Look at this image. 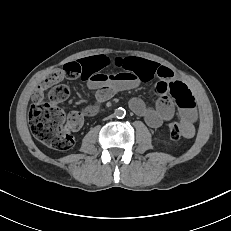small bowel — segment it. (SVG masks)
Here are the masks:
<instances>
[{
  "label": "small bowel",
  "instance_id": "1",
  "mask_svg": "<svg viewBox=\"0 0 231 231\" xmlns=\"http://www.w3.org/2000/svg\"><path fill=\"white\" fill-rule=\"evenodd\" d=\"M71 63L79 65L81 69L79 76L96 95V104L86 106L81 113L82 116L95 114L100 104L119 91L133 89L143 82L157 79L154 91L158 99L155 106H148L140 98H132L129 107L135 114L143 117L148 126L157 128L174 117V100L178 106L184 137L194 136V124L197 120L194 97L188 86L176 78L169 68L138 57L111 59L105 55L90 56ZM112 66L118 71L107 73L105 70ZM64 77L66 76L63 70L55 71L38 86L33 99L42 100L48 87ZM81 125L72 130H78Z\"/></svg>",
  "mask_w": 231,
  "mask_h": 231
}]
</instances>
